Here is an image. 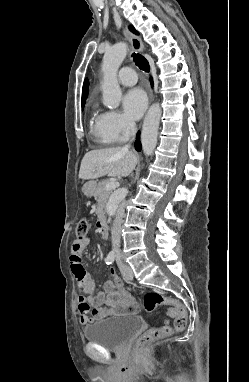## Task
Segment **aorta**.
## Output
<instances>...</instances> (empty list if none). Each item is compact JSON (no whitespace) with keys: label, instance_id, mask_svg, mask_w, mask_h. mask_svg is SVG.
Returning <instances> with one entry per match:
<instances>
[{"label":"aorta","instance_id":"1","mask_svg":"<svg viewBox=\"0 0 249 382\" xmlns=\"http://www.w3.org/2000/svg\"><path fill=\"white\" fill-rule=\"evenodd\" d=\"M127 46L124 43H117L106 50L103 62V82L101 85L103 94V104L109 109H116L121 101L122 92L117 81V71L125 59ZM162 110L159 104H153L143 122L141 143L144 153L152 155L157 144L158 128ZM128 190L123 188L114 192L107 204L106 211L109 217L116 214L120 202L126 197Z\"/></svg>","mask_w":249,"mask_h":382}]
</instances>
